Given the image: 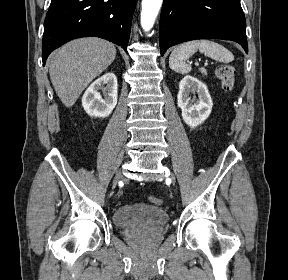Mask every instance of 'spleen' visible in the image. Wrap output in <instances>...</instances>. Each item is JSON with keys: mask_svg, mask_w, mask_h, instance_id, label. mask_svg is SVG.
<instances>
[{"mask_svg": "<svg viewBox=\"0 0 288 280\" xmlns=\"http://www.w3.org/2000/svg\"><path fill=\"white\" fill-rule=\"evenodd\" d=\"M197 50L205 56L220 62L229 63L234 60V55L223 45L214 41L201 39L178 45L170 54V68L180 74L189 73L191 66L188 65L185 60L192 56Z\"/></svg>", "mask_w": 288, "mask_h": 280, "instance_id": "obj_1", "label": "spleen"}]
</instances>
